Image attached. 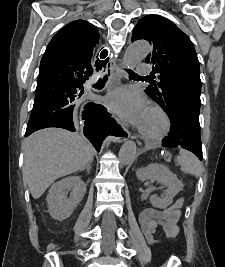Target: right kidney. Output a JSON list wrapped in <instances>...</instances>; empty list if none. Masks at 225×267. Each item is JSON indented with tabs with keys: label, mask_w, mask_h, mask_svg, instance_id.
I'll return each instance as SVG.
<instances>
[{
	"label": "right kidney",
	"mask_w": 225,
	"mask_h": 267,
	"mask_svg": "<svg viewBox=\"0 0 225 267\" xmlns=\"http://www.w3.org/2000/svg\"><path fill=\"white\" fill-rule=\"evenodd\" d=\"M71 191L67 199V193ZM86 193V184L79 176H69L55 182L47 196L48 211L56 220L70 217Z\"/></svg>",
	"instance_id": "1"
}]
</instances>
